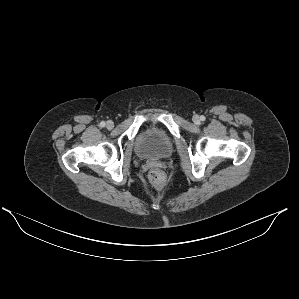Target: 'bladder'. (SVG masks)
<instances>
[{
	"instance_id": "bladder-1",
	"label": "bladder",
	"mask_w": 299,
	"mask_h": 299,
	"mask_svg": "<svg viewBox=\"0 0 299 299\" xmlns=\"http://www.w3.org/2000/svg\"><path fill=\"white\" fill-rule=\"evenodd\" d=\"M135 149L142 160H164L172 156L174 141L170 133L162 126L148 125L137 134Z\"/></svg>"
}]
</instances>
